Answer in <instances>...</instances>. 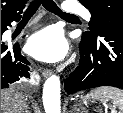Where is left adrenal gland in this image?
Here are the masks:
<instances>
[{"mask_svg":"<svg viewBox=\"0 0 123 113\" xmlns=\"http://www.w3.org/2000/svg\"><path fill=\"white\" fill-rule=\"evenodd\" d=\"M75 109H72L71 113H74ZM84 108L82 107L81 109H77L76 113H84Z\"/></svg>","mask_w":123,"mask_h":113,"instance_id":"obj_1","label":"left adrenal gland"}]
</instances>
